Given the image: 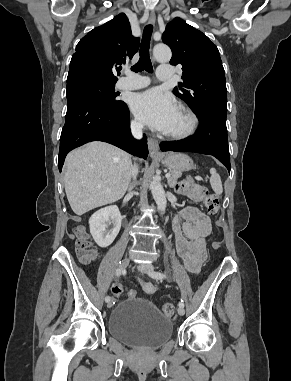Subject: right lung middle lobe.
<instances>
[{
	"label": "right lung middle lobe",
	"mask_w": 291,
	"mask_h": 381,
	"mask_svg": "<svg viewBox=\"0 0 291 381\" xmlns=\"http://www.w3.org/2000/svg\"><path fill=\"white\" fill-rule=\"evenodd\" d=\"M70 83H78L89 87L91 90L97 93L109 106L114 107L124 103L116 99L117 93H115L114 89L115 83H102L82 77H73L71 79H67V84Z\"/></svg>",
	"instance_id": "right-lung-middle-lobe-1"
}]
</instances>
